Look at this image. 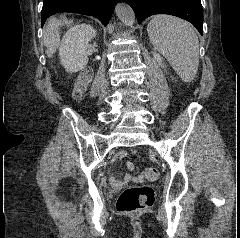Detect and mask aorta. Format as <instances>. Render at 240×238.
<instances>
[{
    "label": "aorta",
    "instance_id": "obj_1",
    "mask_svg": "<svg viewBox=\"0 0 240 238\" xmlns=\"http://www.w3.org/2000/svg\"><path fill=\"white\" fill-rule=\"evenodd\" d=\"M117 17L126 26H132L135 22V14L130 6L125 3H118L115 7Z\"/></svg>",
    "mask_w": 240,
    "mask_h": 238
}]
</instances>
